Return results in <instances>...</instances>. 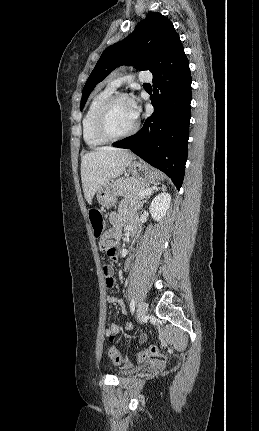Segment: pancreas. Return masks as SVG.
<instances>
[{"label": "pancreas", "instance_id": "1", "mask_svg": "<svg viewBox=\"0 0 259 431\" xmlns=\"http://www.w3.org/2000/svg\"><path fill=\"white\" fill-rule=\"evenodd\" d=\"M148 187L149 185L139 179L133 177H122L117 179L113 184V192L115 196L142 200L146 195H140L139 193Z\"/></svg>", "mask_w": 259, "mask_h": 431}]
</instances>
